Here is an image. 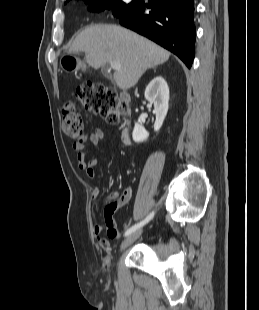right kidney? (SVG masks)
Returning a JSON list of instances; mask_svg holds the SVG:
<instances>
[{
	"label": "right kidney",
	"mask_w": 259,
	"mask_h": 310,
	"mask_svg": "<svg viewBox=\"0 0 259 310\" xmlns=\"http://www.w3.org/2000/svg\"><path fill=\"white\" fill-rule=\"evenodd\" d=\"M145 98L154 105L156 120L154 131H159L169 108V87L165 79L161 76L155 77L145 90ZM149 136V133L139 123H135L132 137L135 142H143Z\"/></svg>",
	"instance_id": "ca27d5eb"
}]
</instances>
